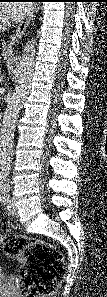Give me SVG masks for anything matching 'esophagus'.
Returning <instances> with one entry per match:
<instances>
[{
  "label": "esophagus",
  "mask_w": 107,
  "mask_h": 297,
  "mask_svg": "<svg viewBox=\"0 0 107 297\" xmlns=\"http://www.w3.org/2000/svg\"><path fill=\"white\" fill-rule=\"evenodd\" d=\"M36 10H37V6H36V4H33L31 6L29 13H28L27 17L25 18V20L19 24L15 33L11 36L10 45H14L15 43H18V41L21 39V37L25 33L27 27L29 26L30 21L33 18Z\"/></svg>",
  "instance_id": "obj_1"
}]
</instances>
